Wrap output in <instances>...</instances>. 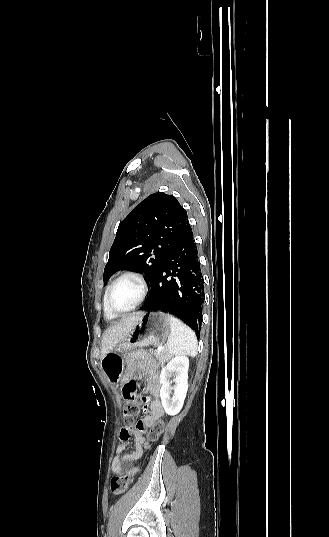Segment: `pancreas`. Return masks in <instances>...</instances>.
I'll return each mask as SVG.
<instances>
[{
	"label": "pancreas",
	"instance_id": "pancreas-1",
	"mask_svg": "<svg viewBox=\"0 0 329 537\" xmlns=\"http://www.w3.org/2000/svg\"><path fill=\"white\" fill-rule=\"evenodd\" d=\"M151 353L156 357V359L159 361L161 365H163L166 361H168L171 357L167 353V351H151Z\"/></svg>",
	"mask_w": 329,
	"mask_h": 537
}]
</instances>
